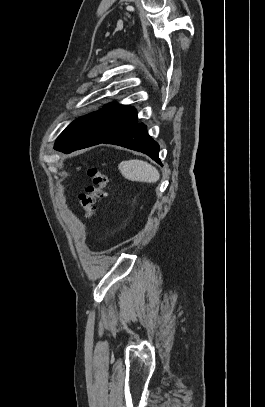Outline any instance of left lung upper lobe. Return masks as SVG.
<instances>
[{"label": "left lung upper lobe", "instance_id": "5c2ea615", "mask_svg": "<svg viewBox=\"0 0 265 407\" xmlns=\"http://www.w3.org/2000/svg\"><path fill=\"white\" fill-rule=\"evenodd\" d=\"M137 121L134 107L110 104L68 125L57 138L54 149L88 147L101 143Z\"/></svg>", "mask_w": 265, "mask_h": 407}]
</instances>
